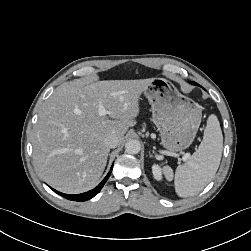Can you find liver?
I'll return each instance as SVG.
<instances>
[{
	"instance_id": "obj_1",
	"label": "liver",
	"mask_w": 251,
	"mask_h": 251,
	"mask_svg": "<svg viewBox=\"0 0 251 251\" xmlns=\"http://www.w3.org/2000/svg\"><path fill=\"white\" fill-rule=\"evenodd\" d=\"M154 78L69 81L42 105L32 135L33 157L43 179L58 191L78 194L92 189L107 163L104 140L119 144L139 114V99ZM99 104L109 111L100 116Z\"/></svg>"
}]
</instances>
